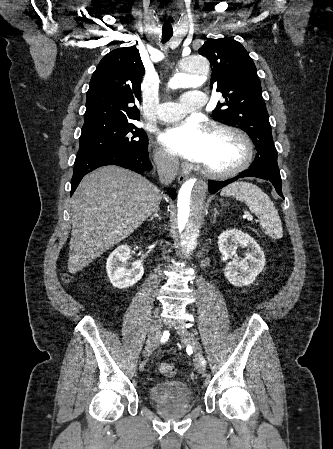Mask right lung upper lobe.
I'll return each mask as SVG.
<instances>
[{
  "mask_svg": "<svg viewBox=\"0 0 333 449\" xmlns=\"http://www.w3.org/2000/svg\"><path fill=\"white\" fill-rule=\"evenodd\" d=\"M144 73L136 47L105 55L90 80L83 126L139 120L137 104Z\"/></svg>",
  "mask_w": 333,
  "mask_h": 449,
  "instance_id": "cb5924a9",
  "label": "right lung upper lobe"
}]
</instances>
